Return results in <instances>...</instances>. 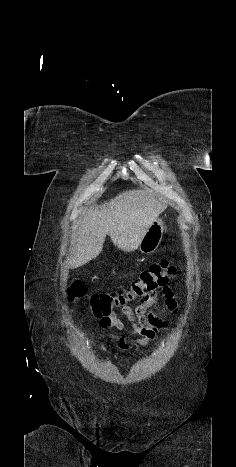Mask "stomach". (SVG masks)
<instances>
[{"instance_id":"1","label":"stomach","mask_w":236,"mask_h":467,"mask_svg":"<svg viewBox=\"0 0 236 467\" xmlns=\"http://www.w3.org/2000/svg\"><path fill=\"white\" fill-rule=\"evenodd\" d=\"M164 231V224L162 219H156L152 225L147 229L144 237L142 238L139 250L143 254H151L158 248Z\"/></svg>"}]
</instances>
